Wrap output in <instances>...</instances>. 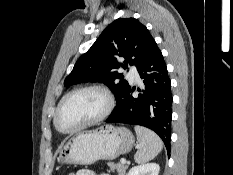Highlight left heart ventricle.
<instances>
[{
    "mask_svg": "<svg viewBox=\"0 0 233 175\" xmlns=\"http://www.w3.org/2000/svg\"><path fill=\"white\" fill-rule=\"evenodd\" d=\"M106 106L105 98L96 91H82L71 95L62 104L58 125L70 130L99 115Z\"/></svg>",
    "mask_w": 233,
    "mask_h": 175,
    "instance_id": "left-heart-ventricle-1",
    "label": "left heart ventricle"
}]
</instances>
